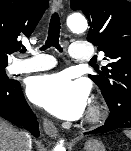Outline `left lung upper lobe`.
Returning a JSON list of instances; mask_svg holds the SVG:
<instances>
[{"label": "left lung upper lobe", "mask_w": 131, "mask_h": 151, "mask_svg": "<svg viewBox=\"0 0 131 151\" xmlns=\"http://www.w3.org/2000/svg\"><path fill=\"white\" fill-rule=\"evenodd\" d=\"M90 23L87 40L104 52L109 64L89 75L101 89L110 111L131 104V2L126 0H71Z\"/></svg>", "instance_id": "left-lung-upper-lobe-1"}]
</instances>
